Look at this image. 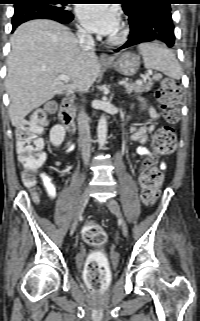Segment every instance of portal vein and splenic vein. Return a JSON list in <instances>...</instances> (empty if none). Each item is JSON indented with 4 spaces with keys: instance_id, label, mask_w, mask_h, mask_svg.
<instances>
[{
    "instance_id": "obj_1",
    "label": "portal vein and splenic vein",
    "mask_w": 200,
    "mask_h": 321,
    "mask_svg": "<svg viewBox=\"0 0 200 321\" xmlns=\"http://www.w3.org/2000/svg\"><path fill=\"white\" fill-rule=\"evenodd\" d=\"M151 74H152V71L151 70L148 71V75H151ZM57 79L60 80V81H64V82H69L70 81L69 77L66 76V75H63V74L57 75ZM126 83H127L126 81H119L118 84L119 85H124ZM136 83H141V81L137 80Z\"/></svg>"
}]
</instances>
